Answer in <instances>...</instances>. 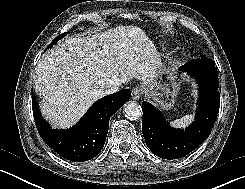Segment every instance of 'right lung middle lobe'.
<instances>
[{"mask_svg": "<svg viewBox=\"0 0 245 189\" xmlns=\"http://www.w3.org/2000/svg\"><path fill=\"white\" fill-rule=\"evenodd\" d=\"M65 34H66V33H63V34L57 36V37L52 41V43L49 44L48 48H51L52 45L55 44V43H57V41H58L59 39H61L62 37H64Z\"/></svg>", "mask_w": 245, "mask_h": 189, "instance_id": "obj_1", "label": "right lung middle lobe"}]
</instances>
